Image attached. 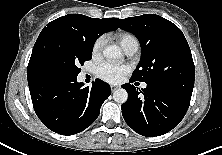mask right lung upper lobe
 Returning a JSON list of instances; mask_svg holds the SVG:
<instances>
[{
	"label": "right lung upper lobe",
	"instance_id": "1",
	"mask_svg": "<svg viewBox=\"0 0 222 155\" xmlns=\"http://www.w3.org/2000/svg\"><path fill=\"white\" fill-rule=\"evenodd\" d=\"M117 18H90L81 14H68L66 16L55 19L54 21L47 24L44 27V30L54 26L56 24L64 23V22H85L93 24L101 33V35L107 31L115 30L118 28ZM41 31V32H42ZM27 79L28 85L30 89V94H38V95H46L51 89L54 78L44 73L34 58V55H31L28 70H27Z\"/></svg>",
	"mask_w": 222,
	"mask_h": 155
}]
</instances>
